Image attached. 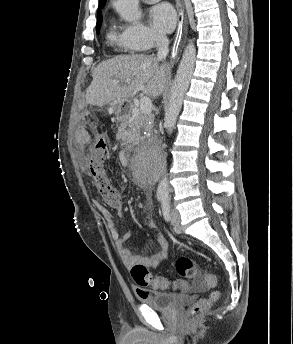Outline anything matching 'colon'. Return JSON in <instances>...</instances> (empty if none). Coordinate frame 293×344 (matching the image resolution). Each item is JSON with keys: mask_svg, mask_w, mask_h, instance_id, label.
<instances>
[{"mask_svg": "<svg viewBox=\"0 0 293 344\" xmlns=\"http://www.w3.org/2000/svg\"><path fill=\"white\" fill-rule=\"evenodd\" d=\"M106 150L107 140L103 137L97 138L89 153L88 168L103 200L112 207H118L122 202L121 196L110 182L104 169ZM175 268L177 273L183 278L197 280L203 275V269L187 257L178 258L175 262ZM130 274L139 288L150 286L155 289H166L170 285L168 280L153 276L143 265L133 266L130 269ZM208 279L212 282L214 276L209 275ZM173 286L181 290L188 289V285L182 280L175 281ZM219 296V291H213L208 298L197 301L190 307L189 316L196 317L209 310Z\"/></svg>", "mask_w": 293, "mask_h": 344, "instance_id": "5ec220e1", "label": "colon"}]
</instances>
